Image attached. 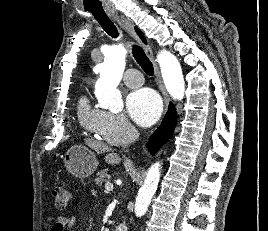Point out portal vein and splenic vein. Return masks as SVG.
Returning a JSON list of instances; mask_svg holds the SVG:
<instances>
[{
  "mask_svg": "<svg viewBox=\"0 0 268 231\" xmlns=\"http://www.w3.org/2000/svg\"><path fill=\"white\" fill-rule=\"evenodd\" d=\"M105 190L106 191H112L113 190V184L111 182H107L105 184Z\"/></svg>",
  "mask_w": 268,
  "mask_h": 231,
  "instance_id": "obj_1",
  "label": "portal vein and splenic vein"
}]
</instances>
